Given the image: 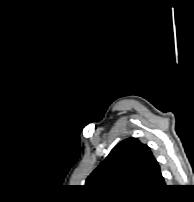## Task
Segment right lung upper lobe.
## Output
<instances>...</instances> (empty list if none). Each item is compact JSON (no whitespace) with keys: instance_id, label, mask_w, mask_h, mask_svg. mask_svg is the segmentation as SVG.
I'll return each instance as SVG.
<instances>
[{"instance_id":"1","label":"right lung upper lobe","mask_w":194,"mask_h":202,"mask_svg":"<svg viewBox=\"0 0 194 202\" xmlns=\"http://www.w3.org/2000/svg\"><path fill=\"white\" fill-rule=\"evenodd\" d=\"M85 186L107 196H144L165 187V182L150 148L128 138L112 149Z\"/></svg>"}]
</instances>
